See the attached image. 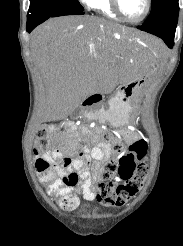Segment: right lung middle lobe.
Here are the masks:
<instances>
[{"label":"right lung middle lobe","mask_w":183,"mask_h":246,"mask_svg":"<svg viewBox=\"0 0 183 246\" xmlns=\"http://www.w3.org/2000/svg\"><path fill=\"white\" fill-rule=\"evenodd\" d=\"M74 10H84L78 0H30L27 19L47 20L58 13Z\"/></svg>","instance_id":"right-lung-middle-lobe-1"}]
</instances>
